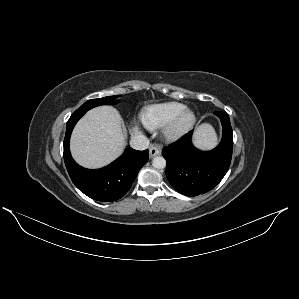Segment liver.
Masks as SVG:
<instances>
[{"label":"liver","instance_id":"1","mask_svg":"<svg viewBox=\"0 0 299 299\" xmlns=\"http://www.w3.org/2000/svg\"><path fill=\"white\" fill-rule=\"evenodd\" d=\"M135 135L139 128L134 127ZM197 142L204 147L216 144L213 130L206 125L196 130ZM126 134L118 111L100 106L88 111L77 123L71 136L74 160L86 168H101L115 160L124 150Z\"/></svg>","mask_w":299,"mask_h":299}]
</instances>
